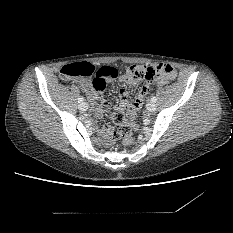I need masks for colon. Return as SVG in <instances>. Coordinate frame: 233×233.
Wrapping results in <instances>:
<instances>
[{
  "label": "colon",
  "instance_id": "colon-1",
  "mask_svg": "<svg viewBox=\"0 0 233 233\" xmlns=\"http://www.w3.org/2000/svg\"><path fill=\"white\" fill-rule=\"evenodd\" d=\"M108 71H110L109 68L96 69L92 63L81 61L63 66L59 70V75L63 80L72 77L92 78L93 82L98 84L101 82L103 74ZM126 73L135 79L152 81L157 74H164L170 77L173 73V68L166 63H155L148 66L134 64L126 68ZM135 115L136 110L131 105H128L126 112L117 111L112 115L111 119L114 126L103 124L100 131L103 135H110L114 139H119L124 145H130L133 141L134 124L129 122L127 118H133Z\"/></svg>",
  "mask_w": 233,
  "mask_h": 233
}]
</instances>
